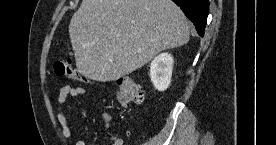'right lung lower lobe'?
Listing matches in <instances>:
<instances>
[{
  "label": "right lung lower lobe",
  "instance_id": "98d812e1",
  "mask_svg": "<svg viewBox=\"0 0 276 145\" xmlns=\"http://www.w3.org/2000/svg\"><path fill=\"white\" fill-rule=\"evenodd\" d=\"M193 22L197 32L203 37L209 11V0H172Z\"/></svg>",
  "mask_w": 276,
  "mask_h": 145
}]
</instances>
